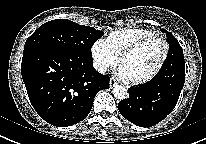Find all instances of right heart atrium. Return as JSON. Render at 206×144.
Listing matches in <instances>:
<instances>
[{"label": "right heart atrium", "instance_id": "right-heart-atrium-1", "mask_svg": "<svg viewBox=\"0 0 206 144\" xmlns=\"http://www.w3.org/2000/svg\"><path fill=\"white\" fill-rule=\"evenodd\" d=\"M91 56L95 68L100 73L107 72L113 68L118 61V57L113 53L104 39H98L92 44Z\"/></svg>", "mask_w": 206, "mask_h": 144}]
</instances>
